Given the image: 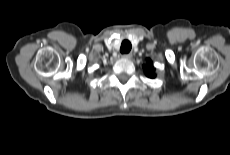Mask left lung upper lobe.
<instances>
[{
    "label": "left lung upper lobe",
    "mask_w": 230,
    "mask_h": 155,
    "mask_svg": "<svg viewBox=\"0 0 230 155\" xmlns=\"http://www.w3.org/2000/svg\"><path fill=\"white\" fill-rule=\"evenodd\" d=\"M145 74L149 78H155V68L153 67V62L147 58L145 68H144Z\"/></svg>",
    "instance_id": "1"
}]
</instances>
